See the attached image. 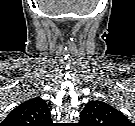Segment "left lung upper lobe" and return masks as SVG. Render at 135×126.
Masks as SVG:
<instances>
[{"instance_id":"5c2ea615","label":"left lung upper lobe","mask_w":135,"mask_h":126,"mask_svg":"<svg viewBox=\"0 0 135 126\" xmlns=\"http://www.w3.org/2000/svg\"><path fill=\"white\" fill-rule=\"evenodd\" d=\"M80 120L85 126H126L127 117L111 105L92 100L80 113Z\"/></svg>"}]
</instances>
